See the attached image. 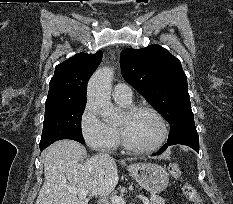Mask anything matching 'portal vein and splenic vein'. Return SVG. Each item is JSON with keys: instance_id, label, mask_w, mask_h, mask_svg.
Listing matches in <instances>:
<instances>
[{"instance_id": "obj_1", "label": "portal vein and splenic vein", "mask_w": 233, "mask_h": 204, "mask_svg": "<svg viewBox=\"0 0 233 204\" xmlns=\"http://www.w3.org/2000/svg\"><path fill=\"white\" fill-rule=\"evenodd\" d=\"M67 189L70 192L77 193L81 199L86 198L88 195L87 190L79 189L76 187H67ZM139 198L143 201L144 204H149V201L146 197L139 195ZM112 204H125V200L122 198V196H112L111 197Z\"/></svg>"}]
</instances>
